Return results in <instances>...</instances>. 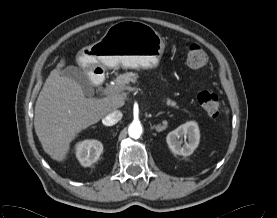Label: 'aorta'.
Here are the masks:
<instances>
[{
  "mask_svg": "<svg viewBox=\"0 0 277 218\" xmlns=\"http://www.w3.org/2000/svg\"><path fill=\"white\" fill-rule=\"evenodd\" d=\"M128 134L130 137L137 139L142 134V126L139 122H132L128 128Z\"/></svg>",
  "mask_w": 277,
  "mask_h": 218,
  "instance_id": "1",
  "label": "aorta"
}]
</instances>
